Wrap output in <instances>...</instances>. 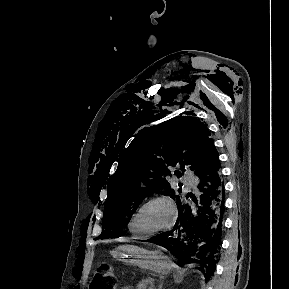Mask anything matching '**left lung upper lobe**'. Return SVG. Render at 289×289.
Instances as JSON below:
<instances>
[{
	"instance_id": "5c2ea615",
	"label": "left lung upper lobe",
	"mask_w": 289,
	"mask_h": 289,
	"mask_svg": "<svg viewBox=\"0 0 289 289\" xmlns=\"http://www.w3.org/2000/svg\"><path fill=\"white\" fill-rule=\"evenodd\" d=\"M214 150L207 126L192 116H178L140 132L120 157L117 171L109 180L99 238L120 237L141 201L154 192L176 201L181 190L172 189L169 168L188 165L196 173ZM175 174L182 176L179 171Z\"/></svg>"
}]
</instances>
